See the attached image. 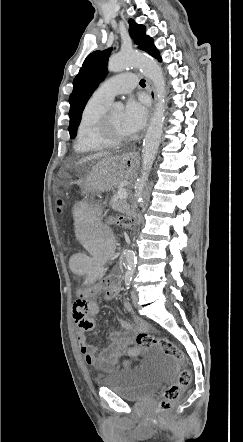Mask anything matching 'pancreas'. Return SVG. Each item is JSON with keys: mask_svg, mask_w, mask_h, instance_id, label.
Segmentation results:
<instances>
[{"mask_svg": "<svg viewBox=\"0 0 243 442\" xmlns=\"http://www.w3.org/2000/svg\"><path fill=\"white\" fill-rule=\"evenodd\" d=\"M112 209L117 211H122L124 207V202L121 200H115L111 203Z\"/></svg>", "mask_w": 243, "mask_h": 442, "instance_id": "obj_1", "label": "pancreas"}]
</instances>
